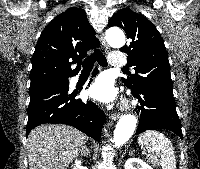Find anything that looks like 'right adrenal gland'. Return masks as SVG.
Wrapping results in <instances>:
<instances>
[{"mask_svg": "<svg viewBox=\"0 0 200 169\" xmlns=\"http://www.w3.org/2000/svg\"><path fill=\"white\" fill-rule=\"evenodd\" d=\"M90 155V149L85 146L82 150H81V156L83 157H88Z\"/></svg>", "mask_w": 200, "mask_h": 169, "instance_id": "1", "label": "right adrenal gland"}]
</instances>
